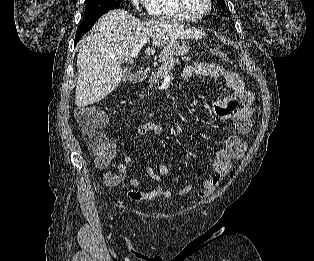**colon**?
<instances>
[{
    "label": "colon",
    "instance_id": "colon-1",
    "mask_svg": "<svg viewBox=\"0 0 314 261\" xmlns=\"http://www.w3.org/2000/svg\"><path fill=\"white\" fill-rule=\"evenodd\" d=\"M211 54L220 62L230 63L229 57L221 50L212 49ZM75 120L89 151L101 164H104L105 158L113 152V146L100 131L104 124L103 112L94 106L79 107L75 110ZM105 179L108 183L117 182V176L112 173H107Z\"/></svg>",
    "mask_w": 314,
    "mask_h": 261
}]
</instances>
